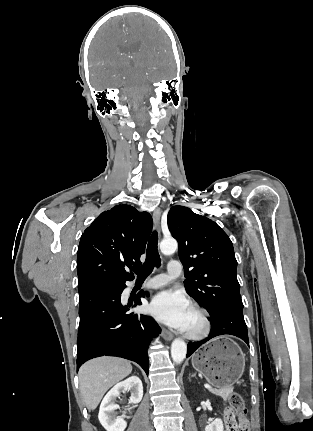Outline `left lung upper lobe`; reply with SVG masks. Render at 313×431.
<instances>
[{"label":"left lung upper lobe","mask_w":313,"mask_h":431,"mask_svg":"<svg viewBox=\"0 0 313 431\" xmlns=\"http://www.w3.org/2000/svg\"><path fill=\"white\" fill-rule=\"evenodd\" d=\"M168 228L178 241L187 293L211 318L227 310L242 311L237 261L227 234L214 221L184 206L171 208Z\"/></svg>","instance_id":"1"}]
</instances>
